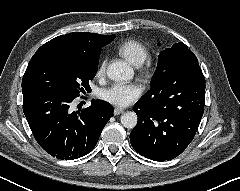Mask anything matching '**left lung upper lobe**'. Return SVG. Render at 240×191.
Segmentation results:
<instances>
[{"label":"left lung upper lobe","instance_id":"obj_1","mask_svg":"<svg viewBox=\"0 0 240 191\" xmlns=\"http://www.w3.org/2000/svg\"><path fill=\"white\" fill-rule=\"evenodd\" d=\"M195 74H202L196 56L184 43H176L160 53L151 90L143 98L151 99L165 90L178 91L182 80Z\"/></svg>","mask_w":240,"mask_h":191}]
</instances>
